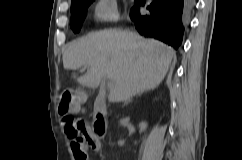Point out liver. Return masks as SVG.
Here are the masks:
<instances>
[{"label": "liver", "instance_id": "obj_1", "mask_svg": "<svg viewBox=\"0 0 242 160\" xmlns=\"http://www.w3.org/2000/svg\"><path fill=\"white\" fill-rule=\"evenodd\" d=\"M174 57L175 51L162 42L134 32L108 30L72 42L63 54V66L67 70L87 66L86 74L77 81L93 89L109 77L113 87L108 100L118 103L156 88Z\"/></svg>", "mask_w": 242, "mask_h": 160}]
</instances>
